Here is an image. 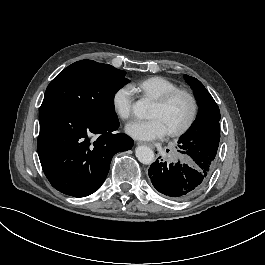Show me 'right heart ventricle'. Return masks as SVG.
Returning a JSON list of instances; mask_svg holds the SVG:
<instances>
[{
    "label": "right heart ventricle",
    "instance_id": "right-heart-ventricle-1",
    "mask_svg": "<svg viewBox=\"0 0 265 265\" xmlns=\"http://www.w3.org/2000/svg\"><path fill=\"white\" fill-rule=\"evenodd\" d=\"M129 88L155 102L169 92L179 89V86L166 77L150 76L130 83Z\"/></svg>",
    "mask_w": 265,
    "mask_h": 265
}]
</instances>
